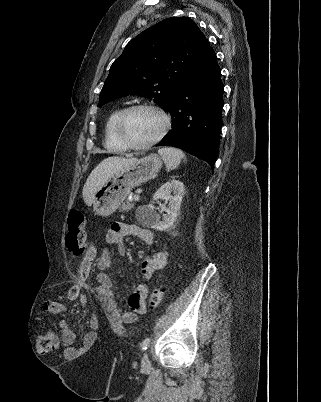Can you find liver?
<instances>
[{
	"label": "liver",
	"instance_id": "liver-1",
	"mask_svg": "<svg viewBox=\"0 0 321 402\" xmlns=\"http://www.w3.org/2000/svg\"><path fill=\"white\" fill-rule=\"evenodd\" d=\"M136 158L112 156L101 161L90 173L84 184L82 195L87 205L92 204L95 192L118 170L132 164Z\"/></svg>",
	"mask_w": 321,
	"mask_h": 402
}]
</instances>
